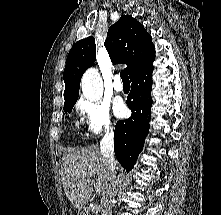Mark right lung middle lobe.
I'll return each instance as SVG.
<instances>
[{
  "label": "right lung middle lobe",
  "mask_w": 221,
  "mask_h": 215,
  "mask_svg": "<svg viewBox=\"0 0 221 215\" xmlns=\"http://www.w3.org/2000/svg\"><path fill=\"white\" fill-rule=\"evenodd\" d=\"M75 103H76V100H74V101H69V102H65V103H64V111H65L66 113H71L72 108H73V106H74Z\"/></svg>",
  "instance_id": "dd1d6c3e"
}]
</instances>
